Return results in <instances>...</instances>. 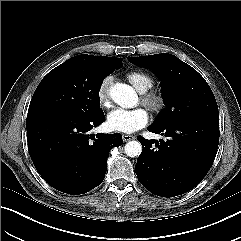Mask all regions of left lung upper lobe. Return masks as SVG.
<instances>
[{
    "mask_svg": "<svg viewBox=\"0 0 241 241\" xmlns=\"http://www.w3.org/2000/svg\"><path fill=\"white\" fill-rule=\"evenodd\" d=\"M128 60L153 70L161 80L166 108L153 126L164 127L186 120L219 122L218 106L212 90L190 65L169 53L128 57Z\"/></svg>",
    "mask_w": 241,
    "mask_h": 241,
    "instance_id": "5c2ea615",
    "label": "left lung upper lobe"
}]
</instances>
